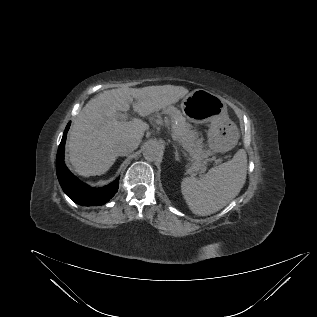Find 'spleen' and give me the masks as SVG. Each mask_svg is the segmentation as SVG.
Here are the masks:
<instances>
[{
  "label": "spleen",
  "mask_w": 317,
  "mask_h": 317,
  "mask_svg": "<svg viewBox=\"0 0 317 317\" xmlns=\"http://www.w3.org/2000/svg\"><path fill=\"white\" fill-rule=\"evenodd\" d=\"M247 173V154L240 149L233 158L211 168L201 178L186 177L181 192L189 209L197 215H211L224 208L242 189Z\"/></svg>",
  "instance_id": "1"
}]
</instances>
